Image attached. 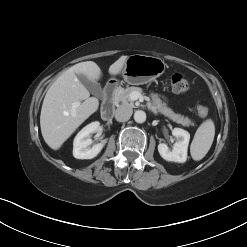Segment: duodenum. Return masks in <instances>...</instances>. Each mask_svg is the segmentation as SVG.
Here are the masks:
<instances>
[{
    "mask_svg": "<svg viewBox=\"0 0 247 247\" xmlns=\"http://www.w3.org/2000/svg\"><path fill=\"white\" fill-rule=\"evenodd\" d=\"M116 90L117 84L114 81L108 82L104 88V98L101 110V115L104 120H110L114 115L116 106Z\"/></svg>",
    "mask_w": 247,
    "mask_h": 247,
    "instance_id": "obj_1",
    "label": "duodenum"
}]
</instances>
